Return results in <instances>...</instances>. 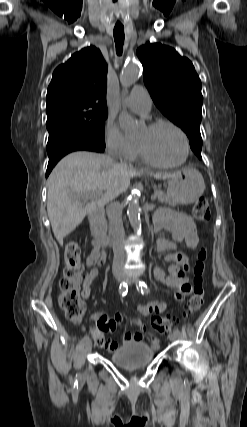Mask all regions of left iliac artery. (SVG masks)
I'll use <instances>...</instances> for the list:
<instances>
[{
    "label": "left iliac artery",
    "instance_id": "left-iliac-artery-1",
    "mask_svg": "<svg viewBox=\"0 0 247 427\" xmlns=\"http://www.w3.org/2000/svg\"><path fill=\"white\" fill-rule=\"evenodd\" d=\"M136 288L139 292H141L142 294H147L148 293V287L147 284L143 281V280H138L136 282ZM175 333H177L178 335L180 334V330L178 328H176L174 330Z\"/></svg>",
    "mask_w": 247,
    "mask_h": 427
}]
</instances>
